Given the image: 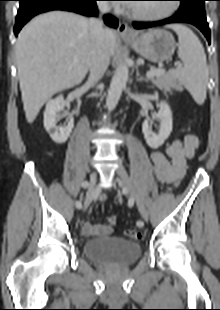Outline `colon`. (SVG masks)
Listing matches in <instances>:
<instances>
[{
	"label": "colon",
	"instance_id": "1",
	"mask_svg": "<svg viewBox=\"0 0 220 310\" xmlns=\"http://www.w3.org/2000/svg\"><path fill=\"white\" fill-rule=\"evenodd\" d=\"M108 221L110 224H115L117 222V217L115 215H112L108 218ZM125 235L131 239L138 240L142 237V233L139 231H136L134 229H128L125 231Z\"/></svg>",
	"mask_w": 220,
	"mask_h": 310
}]
</instances>
